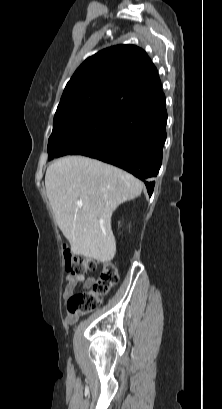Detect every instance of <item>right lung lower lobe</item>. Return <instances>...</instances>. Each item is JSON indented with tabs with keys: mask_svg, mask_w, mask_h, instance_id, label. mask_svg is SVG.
Segmentation results:
<instances>
[{
	"mask_svg": "<svg viewBox=\"0 0 222 409\" xmlns=\"http://www.w3.org/2000/svg\"><path fill=\"white\" fill-rule=\"evenodd\" d=\"M165 96L121 106L101 145L85 155L118 166L145 182L152 195L166 140Z\"/></svg>",
	"mask_w": 222,
	"mask_h": 409,
	"instance_id": "1",
	"label": "right lung lower lobe"
}]
</instances>
